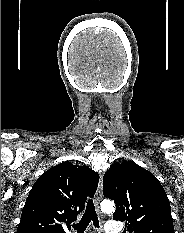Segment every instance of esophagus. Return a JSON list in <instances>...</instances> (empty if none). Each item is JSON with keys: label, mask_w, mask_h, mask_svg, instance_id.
Here are the masks:
<instances>
[{"label": "esophagus", "mask_w": 184, "mask_h": 233, "mask_svg": "<svg viewBox=\"0 0 184 233\" xmlns=\"http://www.w3.org/2000/svg\"><path fill=\"white\" fill-rule=\"evenodd\" d=\"M102 186H103V177L102 175H100L98 190H97L96 198H95V204L97 208H99V203L102 199Z\"/></svg>", "instance_id": "1"}]
</instances>
